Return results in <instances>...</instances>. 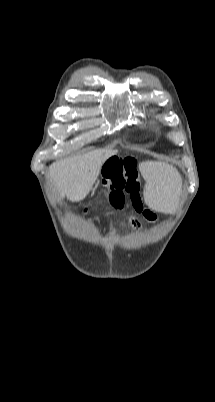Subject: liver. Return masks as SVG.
I'll use <instances>...</instances> for the list:
<instances>
[{
  "mask_svg": "<svg viewBox=\"0 0 215 402\" xmlns=\"http://www.w3.org/2000/svg\"><path fill=\"white\" fill-rule=\"evenodd\" d=\"M117 150L102 149L53 163L48 176L61 198L70 201L83 200L92 190L102 165Z\"/></svg>",
  "mask_w": 215,
  "mask_h": 402,
  "instance_id": "1",
  "label": "liver"
}]
</instances>
